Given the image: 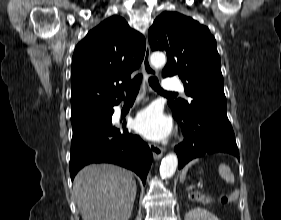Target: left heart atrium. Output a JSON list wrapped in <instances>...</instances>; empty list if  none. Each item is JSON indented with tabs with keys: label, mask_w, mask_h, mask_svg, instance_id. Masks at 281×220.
Instances as JSON below:
<instances>
[{
	"label": "left heart atrium",
	"mask_w": 281,
	"mask_h": 220,
	"mask_svg": "<svg viewBox=\"0 0 281 220\" xmlns=\"http://www.w3.org/2000/svg\"><path fill=\"white\" fill-rule=\"evenodd\" d=\"M134 128L149 140L162 141L169 136L172 124L158 106L151 105L137 114Z\"/></svg>",
	"instance_id": "left-heart-atrium-1"
}]
</instances>
